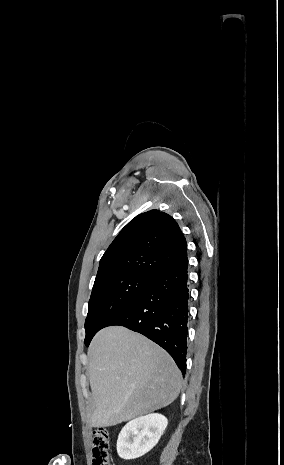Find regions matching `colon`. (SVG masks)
Segmentation results:
<instances>
[{"label":"colon","mask_w":284,"mask_h":465,"mask_svg":"<svg viewBox=\"0 0 284 465\" xmlns=\"http://www.w3.org/2000/svg\"><path fill=\"white\" fill-rule=\"evenodd\" d=\"M109 444L110 435L107 431L94 430L91 465H113Z\"/></svg>","instance_id":"obj_1"}]
</instances>
